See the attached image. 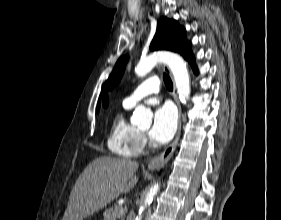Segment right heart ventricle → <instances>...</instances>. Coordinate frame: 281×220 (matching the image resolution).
<instances>
[{"instance_id": "obj_1", "label": "right heart ventricle", "mask_w": 281, "mask_h": 220, "mask_svg": "<svg viewBox=\"0 0 281 220\" xmlns=\"http://www.w3.org/2000/svg\"><path fill=\"white\" fill-rule=\"evenodd\" d=\"M130 108L123 102V111L115 116L107 140L109 150L121 157H136L143 150L141 132L126 118Z\"/></svg>"}]
</instances>
